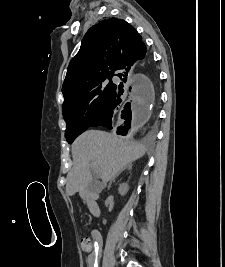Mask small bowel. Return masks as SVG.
I'll return each mask as SVG.
<instances>
[{
    "label": "small bowel",
    "mask_w": 225,
    "mask_h": 267,
    "mask_svg": "<svg viewBox=\"0 0 225 267\" xmlns=\"http://www.w3.org/2000/svg\"><path fill=\"white\" fill-rule=\"evenodd\" d=\"M93 238L95 239V245L93 246V249L89 251V255L87 258L89 267H94L95 263L98 262L100 255H101L100 250H99V245L101 243V236L99 232L94 231Z\"/></svg>",
    "instance_id": "c3829d8e"
}]
</instances>
